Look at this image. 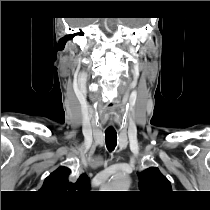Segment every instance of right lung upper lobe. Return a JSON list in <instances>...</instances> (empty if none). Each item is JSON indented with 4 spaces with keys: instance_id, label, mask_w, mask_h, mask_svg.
I'll list each match as a JSON object with an SVG mask.
<instances>
[{
    "instance_id": "1",
    "label": "right lung upper lobe",
    "mask_w": 210,
    "mask_h": 210,
    "mask_svg": "<svg viewBox=\"0 0 210 210\" xmlns=\"http://www.w3.org/2000/svg\"><path fill=\"white\" fill-rule=\"evenodd\" d=\"M69 174V168H58L45 179L41 191L56 200H68L90 188V178L86 174L80 175L76 182L69 181Z\"/></svg>"
}]
</instances>
